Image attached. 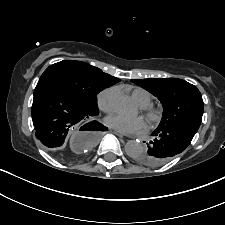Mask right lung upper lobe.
<instances>
[{"label":"right lung upper lobe","instance_id":"cb5924a9","mask_svg":"<svg viewBox=\"0 0 225 225\" xmlns=\"http://www.w3.org/2000/svg\"><path fill=\"white\" fill-rule=\"evenodd\" d=\"M103 73V72H102ZM104 74H106V73H104ZM107 75V77L113 82V84H115V83H117V82H119L120 81V79H118V78H116V77H112V76H110L109 74H106Z\"/></svg>","mask_w":225,"mask_h":225}]
</instances>
